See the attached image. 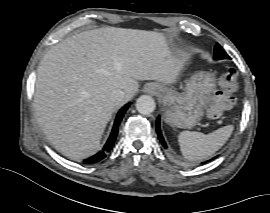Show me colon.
I'll use <instances>...</instances> for the list:
<instances>
[{"label":"colon","instance_id":"5ec220e1","mask_svg":"<svg viewBox=\"0 0 270 213\" xmlns=\"http://www.w3.org/2000/svg\"><path fill=\"white\" fill-rule=\"evenodd\" d=\"M238 87V75L235 68L223 71L219 79V88L210 98L206 107V116L218 119L224 116L235 104L234 92Z\"/></svg>","mask_w":270,"mask_h":213}]
</instances>
